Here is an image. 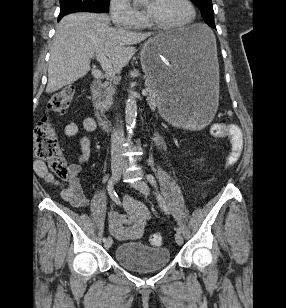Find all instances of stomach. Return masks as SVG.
Returning <instances> with one entry per match:
<instances>
[{"mask_svg":"<svg viewBox=\"0 0 286 308\" xmlns=\"http://www.w3.org/2000/svg\"><path fill=\"white\" fill-rule=\"evenodd\" d=\"M166 34V33H165ZM159 34L142 47V68L170 125H207L216 107L219 65L216 40L205 25Z\"/></svg>","mask_w":286,"mask_h":308,"instance_id":"stomach-1","label":"stomach"}]
</instances>
